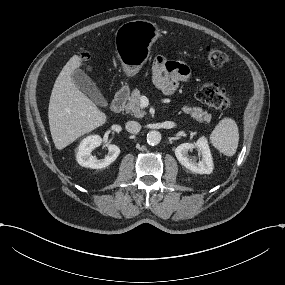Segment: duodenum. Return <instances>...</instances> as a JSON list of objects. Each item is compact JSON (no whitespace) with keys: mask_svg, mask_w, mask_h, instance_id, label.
Here are the masks:
<instances>
[{"mask_svg":"<svg viewBox=\"0 0 285 285\" xmlns=\"http://www.w3.org/2000/svg\"><path fill=\"white\" fill-rule=\"evenodd\" d=\"M128 97H129V90L126 88L120 89L116 93V95L112 101L111 108H112L113 112L120 113L123 110L124 105H125Z\"/></svg>","mask_w":285,"mask_h":285,"instance_id":"duodenum-1","label":"duodenum"}]
</instances>
